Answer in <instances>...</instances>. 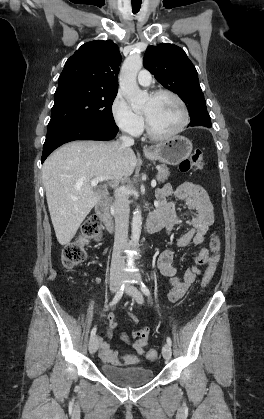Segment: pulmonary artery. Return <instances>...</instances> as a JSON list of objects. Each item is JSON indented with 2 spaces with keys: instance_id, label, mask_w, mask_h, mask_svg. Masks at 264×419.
I'll use <instances>...</instances> for the list:
<instances>
[{
  "instance_id": "obj_1",
  "label": "pulmonary artery",
  "mask_w": 264,
  "mask_h": 419,
  "mask_svg": "<svg viewBox=\"0 0 264 419\" xmlns=\"http://www.w3.org/2000/svg\"><path fill=\"white\" fill-rule=\"evenodd\" d=\"M137 81L142 86H148V85H150V83H151V74H150V72L148 70H145V69L141 70L138 73Z\"/></svg>"
}]
</instances>
